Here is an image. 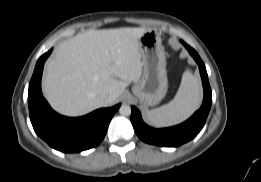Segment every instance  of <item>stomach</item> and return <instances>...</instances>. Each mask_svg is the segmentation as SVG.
Segmentation results:
<instances>
[{
	"mask_svg": "<svg viewBox=\"0 0 261 182\" xmlns=\"http://www.w3.org/2000/svg\"><path fill=\"white\" fill-rule=\"evenodd\" d=\"M138 51L143 76L132 87V92L141 106H155L165 97L168 90L166 55L159 33L148 29L138 41Z\"/></svg>",
	"mask_w": 261,
	"mask_h": 182,
	"instance_id": "0dacf381",
	"label": "stomach"
}]
</instances>
